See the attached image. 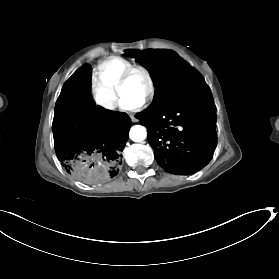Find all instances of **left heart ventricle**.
Here are the masks:
<instances>
[{
    "instance_id": "left-heart-ventricle-1",
    "label": "left heart ventricle",
    "mask_w": 279,
    "mask_h": 279,
    "mask_svg": "<svg viewBox=\"0 0 279 279\" xmlns=\"http://www.w3.org/2000/svg\"><path fill=\"white\" fill-rule=\"evenodd\" d=\"M148 91V82L144 75L135 73L124 87L121 98L131 102H142Z\"/></svg>"
}]
</instances>
